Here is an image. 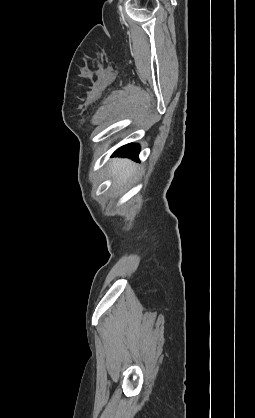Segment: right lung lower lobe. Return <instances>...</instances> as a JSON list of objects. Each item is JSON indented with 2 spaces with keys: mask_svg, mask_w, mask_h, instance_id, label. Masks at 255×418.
<instances>
[{
  "mask_svg": "<svg viewBox=\"0 0 255 418\" xmlns=\"http://www.w3.org/2000/svg\"><path fill=\"white\" fill-rule=\"evenodd\" d=\"M139 151L140 148L138 144H127L116 150L113 156H122L137 159Z\"/></svg>",
  "mask_w": 255,
  "mask_h": 418,
  "instance_id": "obj_1",
  "label": "right lung lower lobe"
}]
</instances>
